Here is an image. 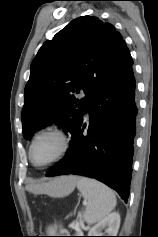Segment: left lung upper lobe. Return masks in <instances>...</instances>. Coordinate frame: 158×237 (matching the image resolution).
<instances>
[{
    "label": "left lung upper lobe",
    "instance_id": "5c2ea615",
    "mask_svg": "<svg viewBox=\"0 0 158 237\" xmlns=\"http://www.w3.org/2000/svg\"><path fill=\"white\" fill-rule=\"evenodd\" d=\"M132 64L112 24L90 16L70 22L32 61L21 115L24 138L52 123L72 133L95 95ZM81 91L86 96L79 99Z\"/></svg>",
    "mask_w": 158,
    "mask_h": 237
}]
</instances>
